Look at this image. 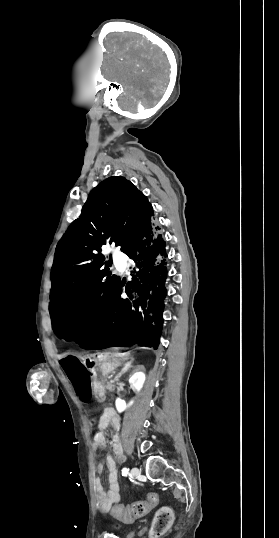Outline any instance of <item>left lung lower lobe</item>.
Segmentation results:
<instances>
[{"label":"left lung lower lobe","mask_w":279,"mask_h":538,"mask_svg":"<svg viewBox=\"0 0 279 538\" xmlns=\"http://www.w3.org/2000/svg\"><path fill=\"white\" fill-rule=\"evenodd\" d=\"M157 229L159 227L151 225L126 252L139 269L125 288L130 299L120 298V285L111 312L93 335L69 332L61 338L75 340L86 349L132 345L157 349L163 324L167 276L166 263L162 260L167 256L166 243Z\"/></svg>","instance_id":"obj_1"}]
</instances>
